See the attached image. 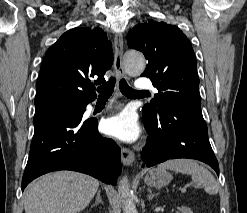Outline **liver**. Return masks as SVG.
<instances>
[{"mask_svg":"<svg viewBox=\"0 0 247 213\" xmlns=\"http://www.w3.org/2000/svg\"><path fill=\"white\" fill-rule=\"evenodd\" d=\"M99 181L86 174L57 171L29 184L25 191V213H78L92 200Z\"/></svg>","mask_w":247,"mask_h":213,"instance_id":"6515ba94","label":"liver"}]
</instances>
